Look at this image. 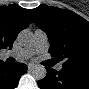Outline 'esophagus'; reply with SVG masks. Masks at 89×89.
Listing matches in <instances>:
<instances>
[{
  "instance_id": "1",
  "label": "esophagus",
  "mask_w": 89,
  "mask_h": 89,
  "mask_svg": "<svg viewBox=\"0 0 89 89\" xmlns=\"http://www.w3.org/2000/svg\"><path fill=\"white\" fill-rule=\"evenodd\" d=\"M33 69V66L32 65H29L28 66V70L31 71Z\"/></svg>"
}]
</instances>
